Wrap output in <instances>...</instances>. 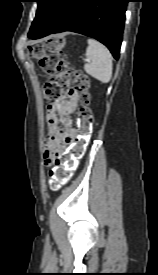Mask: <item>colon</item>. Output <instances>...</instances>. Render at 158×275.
Masks as SVG:
<instances>
[{
    "label": "colon",
    "instance_id": "5ec220e1",
    "mask_svg": "<svg viewBox=\"0 0 158 275\" xmlns=\"http://www.w3.org/2000/svg\"><path fill=\"white\" fill-rule=\"evenodd\" d=\"M65 39L52 36L45 42H35L28 46V53L39 61L41 69L49 75L44 86V95L49 103L60 100L67 91L78 95L81 109L77 118L78 138L67 153L55 158V165L49 170L47 183L53 190L65 185L84 154L93 130V115L89 108L90 81L79 70H73L64 54Z\"/></svg>",
    "mask_w": 158,
    "mask_h": 275
}]
</instances>
